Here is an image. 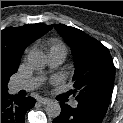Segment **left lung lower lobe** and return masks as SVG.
<instances>
[{
  "instance_id": "1",
  "label": "left lung lower lobe",
  "mask_w": 123,
  "mask_h": 123,
  "mask_svg": "<svg viewBox=\"0 0 123 123\" xmlns=\"http://www.w3.org/2000/svg\"><path fill=\"white\" fill-rule=\"evenodd\" d=\"M61 114L53 123H101L106 112L78 103L77 108L60 103Z\"/></svg>"
}]
</instances>
